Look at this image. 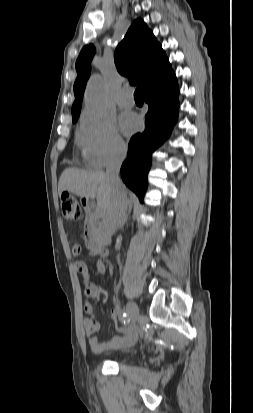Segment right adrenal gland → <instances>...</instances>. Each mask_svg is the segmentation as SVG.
Wrapping results in <instances>:
<instances>
[{"instance_id":"1","label":"right adrenal gland","mask_w":253,"mask_h":413,"mask_svg":"<svg viewBox=\"0 0 253 413\" xmlns=\"http://www.w3.org/2000/svg\"><path fill=\"white\" fill-rule=\"evenodd\" d=\"M130 210H131V208L129 209V212H130ZM127 218H128V215H126V217H125V219H124V221H123V223H122L121 226H124V224L127 222ZM121 226H120V227H121Z\"/></svg>"}]
</instances>
